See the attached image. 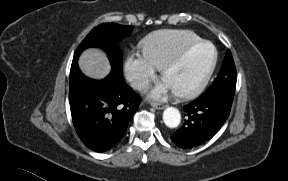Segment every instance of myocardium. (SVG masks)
Returning a JSON list of instances; mask_svg holds the SVG:
<instances>
[{
    "mask_svg": "<svg viewBox=\"0 0 288 181\" xmlns=\"http://www.w3.org/2000/svg\"><path fill=\"white\" fill-rule=\"evenodd\" d=\"M203 45H210L214 49V59L211 67L209 68L206 75L195 85L185 89L173 90L174 93L179 97L188 98L196 96L207 86L218 64L219 52L216 45L208 40H201L199 42L193 43L183 48L177 55H175L172 59H170L161 67V76L162 78H164L166 74L181 65L190 53Z\"/></svg>",
    "mask_w": 288,
    "mask_h": 181,
    "instance_id": "obj_1",
    "label": "myocardium"
}]
</instances>
